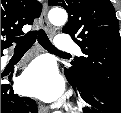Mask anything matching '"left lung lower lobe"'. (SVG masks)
Instances as JSON below:
<instances>
[{"label":"left lung lower lobe","mask_w":121,"mask_h":113,"mask_svg":"<svg viewBox=\"0 0 121 113\" xmlns=\"http://www.w3.org/2000/svg\"><path fill=\"white\" fill-rule=\"evenodd\" d=\"M68 81L87 103L84 113H121V94L104 83L91 79Z\"/></svg>","instance_id":"obj_1"}]
</instances>
